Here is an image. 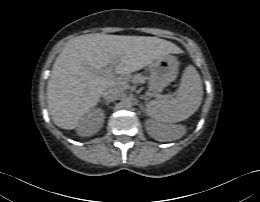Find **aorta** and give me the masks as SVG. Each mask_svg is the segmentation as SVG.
<instances>
[{"mask_svg":"<svg viewBox=\"0 0 260 202\" xmlns=\"http://www.w3.org/2000/svg\"><path fill=\"white\" fill-rule=\"evenodd\" d=\"M133 106V102L131 99L126 98L122 101V107L124 109H130Z\"/></svg>","mask_w":260,"mask_h":202,"instance_id":"aorta-1","label":"aorta"}]
</instances>
